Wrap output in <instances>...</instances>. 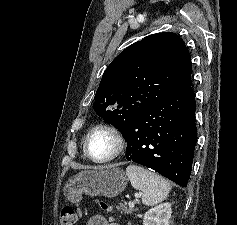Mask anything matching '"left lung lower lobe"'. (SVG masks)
Returning a JSON list of instances; mask_svg holds the SVG:
<instances>
[{
  "label": "left lung lower lobe",
  "instance_id": "1",
  "mask_svg": "<svg viewBox=\"0 0 237 225\" xmlns=\"http://www.w3.org/2000/svg\"><path fill=\"white\" fill-rule=\"evenodd\" d=\"M195 94L191 87L144 112L123 133L126 159L187 186L197 142Z\"/></svg>",
  "mask_w": 237,
  "mask_h": 225
}]
</instances>
